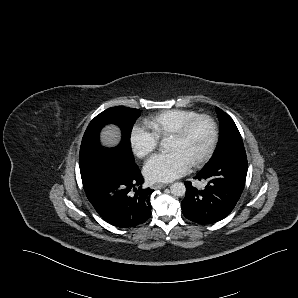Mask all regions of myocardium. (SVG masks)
Listing matches in <instances>:
<instances>
[{
  "label": "myocardium",
  "instance_id": "1",
  "mask_svg": "<svg viewBox=\"0 0 298 298\" xmlns=\"http://www.w3.org/2000/svg\"><path fill=\"white\" fill-rule=\"evenodd\" d=\"M200 121H205L208 126V138L206 145L204 149L201 151L200 154H198L189 164L190 167H194L197 164H199L202 160H204L209 153L211 152L214 139H215V126L212 121V119L207 115H198L188 121H185L181 124H179L175 129H173L171 132H169L164 138H163V146L176 138H179L183 134H185L189 129H191L195 124H197Z\"/></svg>",
  "mask_w": 298,
  "mask_h": 298
}]
</instances>
